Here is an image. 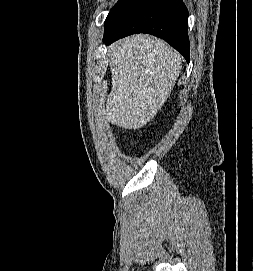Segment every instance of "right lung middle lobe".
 Here are the masks:
<instances>
[{
	"label": "right lung middle lobe",
	"mask_w": 253,
	"mask_h": 271,
	"mask_svg": "<svg viewBox=\"0 0 253 271\" xmlns=\"http://www.w3.org/2000/svg\"><path fill=\"white\" fill-rule=\"evenodd\" d=\"M134 2L135 0H119L106 18L104 31L108 32L114 29Z\"/></svg>",
	"instance_id": "dd1d6c3e"
}]
</instances>
